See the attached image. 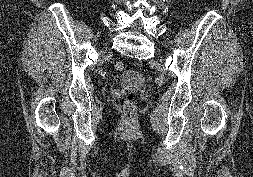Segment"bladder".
Instances as JSON below:
<instances>
[{
	"instance_id": "1",
	"label": "bladder",
	"mask_w": 253,
	"mask_h": 177,
	"mask_svg": "<svg viewBox=\"0 0 253 177\" xmlns=\"http://www.w3.org/2000/svg\"><path fill=\"white\" fill-rule=\"evenodd\" d=\"M120 83L124 86L138 87L143 85L144 77L136 70H127L120 77Z\"/></svg>"
}]
</instances>
